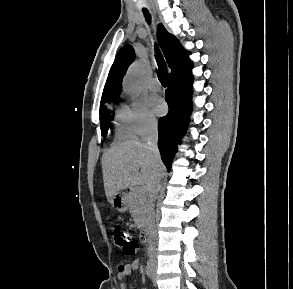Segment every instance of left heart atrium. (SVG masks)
<instances>
[{
    "label": "left heart atrium",
    "mask_w": 293,
    "mask_h": 289,
    "mask_svg": "<svg viewBox=\"0 0 293 289\" xmlns=\"http://www.w3.org/2000/svg\"><path fill=\"white\" fill-rule=\"evenodd\" d=\"M151 108L156 115H163L166 110L165 102L157 96L152 97L150 100Z\"/></svg>",
    "instance_id": "obj_1"
}]
</instances>
